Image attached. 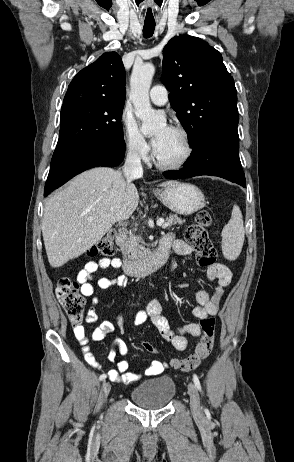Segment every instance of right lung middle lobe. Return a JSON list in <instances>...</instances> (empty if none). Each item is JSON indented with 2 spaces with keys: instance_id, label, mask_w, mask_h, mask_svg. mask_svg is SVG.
<instances>
[{
  "instance_id": "obj_1",
  "label": "right lung middle lobe",
  "mask_w": 294,
  "mask_h": 462,
  "mask_svg": "<svg viewBox=\"0 0 294 462\" xmlns=\"http://www.w3.org/2000/svg\"><path fill=\"white\" fill-rule=\"evenodd\" d=\"M125 100L78 99L63 103L56 147L74 141L123 139Z\"/></svg>"
}]
</instances>
